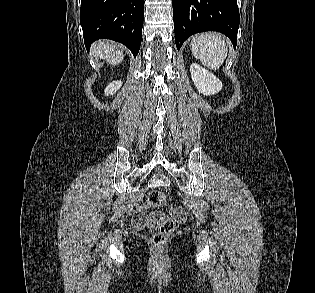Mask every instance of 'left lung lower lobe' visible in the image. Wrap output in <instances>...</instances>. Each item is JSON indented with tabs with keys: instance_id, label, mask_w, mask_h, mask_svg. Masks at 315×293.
Segmentation results:
<instances>
[{
	"instance_id": "0a47b994",
	"label": "left lung lower lobe",
	"mask_w": 315,
	"mask_h": 293,
	"mask_svg": "<svg viewBox=\"0 0 315 293\" xmlns=\"http://www.w3.org/2000/svg\"><path fill=\"white\" fill-rule=\"evenodd\" d=\"M175 43L198 32L217 31L230 38L234 47L239 28L237 0H172Z\"/></svg>"
}]
</instances>
